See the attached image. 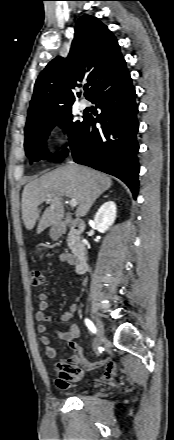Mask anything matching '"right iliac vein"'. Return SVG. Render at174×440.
I'll use <instances>...</instances> for the list:
<instances>
[{
    "instance_id": "1",
    "label": "right iliac vein",
    "mask_w": 174,
    "mask_h": 440,
    "mask_svg": "<svg viewBox=\"0 0 174 440\" xmlns=\"http://www.w3.org/2000/svg\"><path fill=\"white\" fill-rule=\"evenodd\" d=\"M96 327H97V335L95 339V351L106 340L102 322L98 318L96 319Z\"/></svg>"
}]
</instances>
